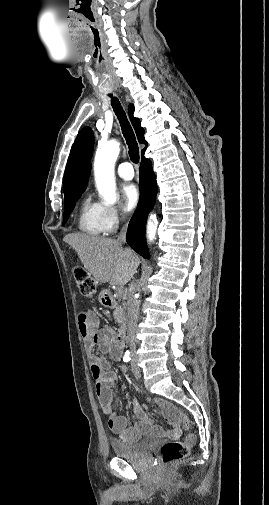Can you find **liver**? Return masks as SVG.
Listing matches in <instances>:
<instances>
[{"label": "liver", "mask_w": 269, "mask_h": 505, "mask_svg": "<svg viewBox=\"0 0 269 505\" xmlns=\"http://www.w3.org/2000/svg\"><path fill=\"white\" fill-rule=\"evenodd\" d=\"M63 241L77 252L84 268L99 283L125 285L140 263L133 250L124 249L115 239L71 233Z\"/></svg>", "instance_id": "liver-1"}]
</instances>
